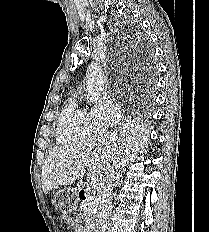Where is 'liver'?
Returning a JSON list of instances; mask_svg holds the SVG:
<instances>
[{
    "mask_svg": "<svg viewBox=\"0 0 209 232\" xmlns=\"http://www.w3.org/2000/svg\"><path fill=\"white\" fill-rule=\"evenodd\" d=\"M140 137L134 128L124 124L120 132L88 137L53 150L42 167V189L45 194L57 185H68L82 179L85 167L100 176V182L111 166L119 169L127 164L125 146L129 151Z\"/></svg>",
    "mask_w": 209,
    "mask_h": 232,
    "instance_id": "6515ba94",
    "label": "liver"
}]
</instances>
